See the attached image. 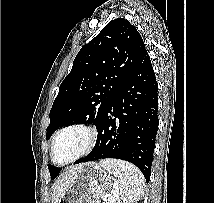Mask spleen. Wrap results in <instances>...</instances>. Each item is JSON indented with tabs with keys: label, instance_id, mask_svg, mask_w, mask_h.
Listing matches in <instances>:
<instances>
[{
	"label": "spleen",
	"instance_id": "3e777b00",
	"mask_svg": "<svg viewBox=\"0 0 214 203\" xmlns=\"http://www.w3.org/2000/svg\"><path fill=\"white\" fill-rule=\"evenodd\" d=\"M100 166L114 176L115 203H134L141 199L145 178L134 165L116 159H104Z\"/></svg>",
	"mask_w": 214,
	"mask_h": 203
}]
</instances>
